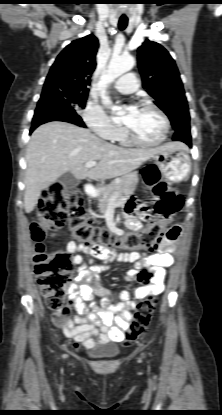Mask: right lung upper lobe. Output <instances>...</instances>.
I'll list each match as a JSON object with an SVG mask.
<instances>
[{"label": "right lung upper lobe", "mask_w": 222, "mask_h": 415, "mask_svg": "<svg viewBox=\"0 0 222 415\" xmlns=\"http://www.w3.org/2000/svg\"><path fill=\"white\" fill-rule=\"evenodd\" d=\"M98 47V39L92 34L66 46L52 65L42 93L68 89L88 94Z\"/></svg>", "instance_id": "right-lung-upper-lobe-1"}]
</instances>
